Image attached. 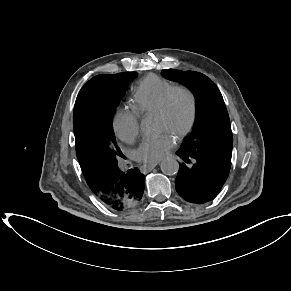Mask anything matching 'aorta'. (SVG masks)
<instances>
[{
  "label": "aorta",
  "mask_w": 291,
  "mask_h": 291,
  "mask_svg": "<svg viewBox=\"0 0 291 291\" xmlns=\"http://www.w3.org/2000/svg\"><path fill=\"white\" fill-rule=\"evenodd\" d=\"M141 130L144 133H149L151 128L148 124L142 123ZM160 168L161 171L166 175H175L179 170V163L174 158H167L161 162Z\"/></svg>",
  "instance_id": "762f6f07"
}]
</instances>
